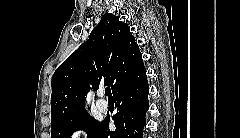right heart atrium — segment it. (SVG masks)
I'll list each match as a JSON object with an SVG mask.
<instances>
[{
  "label": "right heart atrium",
  "mask_w": 240,
  "mask_h": 138,
  "mask_svg": "<svg viewBox=\"0 0 240 138\" xmlns=\"http://www.w3.org/2000/svg\"><path fill=\"white\" fill-rule=\"evenodd\" d=\"M88 136V128L84 124H79L74 127L70 133V138H86Z\"/></svg>",
  "instance_id": "obj_1"
}]
</instances>
